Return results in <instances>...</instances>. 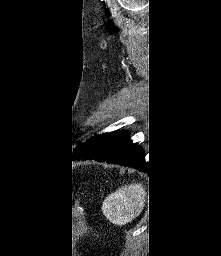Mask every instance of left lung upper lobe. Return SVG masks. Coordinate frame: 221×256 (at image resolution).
Masks as SVG:
<instances>
[{
  "label": "left lung upper lobe",
  "instance_id": "left-lung-upper-lobe-1",
  "mask_svg": "<svg viewBox=\"0 0 221 256\" xmlns=\"http://www.w3.org/2000/svg\"><path fill=\"white\" fill-rule=\"evenodd\" d=\"M81 145H82V144H79V145L72 151L71 155H73Z\"/></svg>",
  "mask_w": 221,
  "mask_h": 256
}]
</instances>
